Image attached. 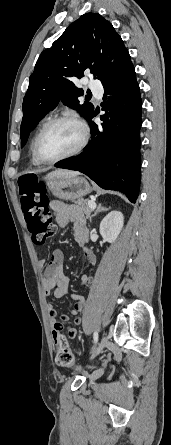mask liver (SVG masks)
<instances>
[{
  "mask_svg": "<svg viewBox=\"0 0 171 445\" xmlns=\"http://www.w3.org/2000/svg\"><path fill=\"white\" fill-rule=\"evenodd\" d=\"M79 173L76 171H68V170H56L51 172L49 175H58V176H77Z\"/></svg>",
  "mask_w": 171,
  "mask_h": 445,
  "instance_id": "obj_1",
  "label": "liver"
}]
</instances>
